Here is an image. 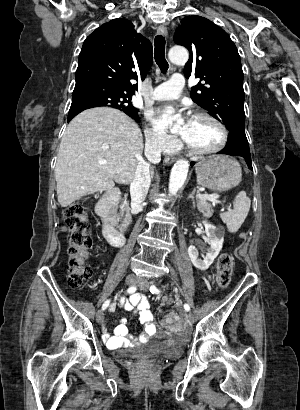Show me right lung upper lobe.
<instances>
[{
    "mask_svg": "<svg viewBox=\"0 0 300 410\" xmlns=\"http://www.w3.org/2000/svg\"><path fill=\"white\" fill-rule=\"evenodd\" d=\"M152 62L151 42L137 34L130 21L117 18L97 28L84 41L76 84H99L132 96L138 85L131 81L139 76L144 79Z\"/></svg>",
    "mask_w": 300,
    "mask_h": 410,
    "instance_id": "right-lung-upper-lobe-1",
    "label": "right lung upper lobe"
}]
</instances>
